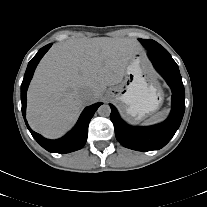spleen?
I'll return each instance as SVG.
<instances>
[{
	"label": "spleen",
	"mask_w": 207,
	"mask_h": 207,
	"mask_svg": "<svg viewBox=\"0 0 207 207\" xmlns=\"http://www.w3.org/2000/svg\"><path fill=\"white\" fill-rule=\"evenodd\" d=\"M168 114H169V109L167 108L163 109L162 111H159L156 114L152 115L150 118L145 120L143 123L145 125H152V124L162 122L167 117Z\"/></svg>",
	"instance_id": "3e777b00"
}]
</instances>
